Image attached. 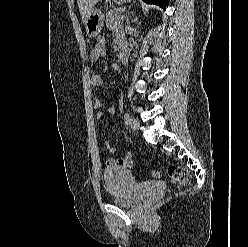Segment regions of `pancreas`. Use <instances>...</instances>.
I'll list each match as a JSON object with an SVG mask.
<instances>
[{
    "label": "pancreas",
    "mask_w": 248,
    "mask_h": 247,
    "mask_svg": "<svg viewBox=\"0 0 248 247\" xmlns=\"http://www.w3.org/2000/svg\"><path fill=\"white\" fill-rule=\"evenodd\" d=\"M121 9H113L107 12L106 14V25L109 29H116L120 25L123 17L119 16Z\"/></svg>",
    "instance_id": "1"
}]
</instances>
